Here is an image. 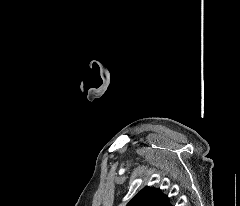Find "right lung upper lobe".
Here are the masks:
<instances>
[{
    "mask_svg": "<svg viewBox=\"0 0 240 206\" xmlns=\"http://www.w3.org/2000/svg\"><path fill=\"white\" fill-rule=\"evenodd\" d=\"M126 206H172L168 198L158 189L146 187L141 190Z\"/></svg>",
    "mask_w": 240,
    "mask_h": 206,
    "instance_id": "right-lung-upper-lobe-1",
    "label": "right lung upper lobe"
}]
</instances>
